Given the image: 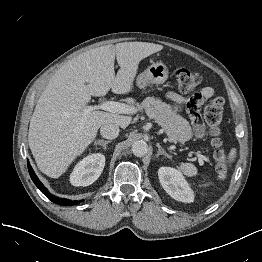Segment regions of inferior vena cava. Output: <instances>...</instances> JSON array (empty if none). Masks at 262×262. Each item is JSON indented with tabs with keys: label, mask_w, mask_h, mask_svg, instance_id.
<instances>
[{
	"label": "inferior vena cava",
	"mask_w": 262,
	"mask_h": 262,
	"mask_svg": "<svg viewBox=\"0 0 262 262\" xmlns=\"http://www.w3.org/2000/svg\"><path fill=\"white\" fill-rule=\"evenodd\" d=\"M119 131V126L116 124H103L100 128V134L106 139H115Z\"/></svg>",
	"instance_id": "1"
}]
</instances>
